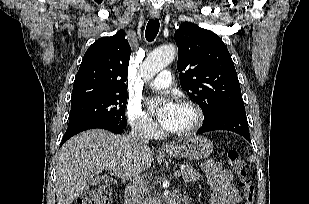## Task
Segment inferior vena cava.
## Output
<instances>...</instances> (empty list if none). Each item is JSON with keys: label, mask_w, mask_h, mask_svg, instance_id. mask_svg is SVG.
Wrapping results in <instances>:
<instances>
[{"label": "inferior vena cava", "mask_w": 309, "mask_h": 204, "mask_svg": "<svg viewBox=\"0 0 309 204\" xmlns=\"http://www.w3.org/2000/svg\"><path fill=\"white\" fill-rule=\"evenodd\" d=\"M128 138L134 146L140 149L148 147L149 136L142 124L135 125ZM146 191L147 184L141 176V172L134 174L125 190V204H152L150 201L144 200Z\"/></svg>", "instance_id": "1"}]
</instances>
